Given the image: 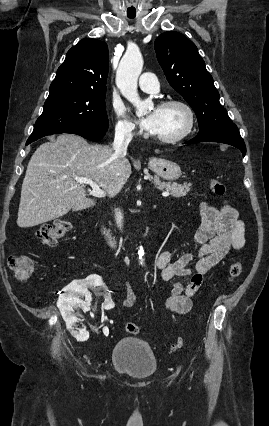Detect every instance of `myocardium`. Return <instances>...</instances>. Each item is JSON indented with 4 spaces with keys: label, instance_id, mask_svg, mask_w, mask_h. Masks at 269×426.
<instances>
[{
    "label": "myocardium",
    "instance_id": "f54148a6",
    "mask_svg": "<svg viewBox=\"0 0 269 426\" xmlns=\"http://www.w3.org/2000/svg\"><path fill=\"white\" fill-rule=\"evenodd\" d=\"M170 106H178L182 108L187 115V124L185 128L179 134L172 137H159L153 134H150V137L162 144H176L182 140H184L194 129L195 126V114L193 109L186 102L179 99H168L163 101L159 107H170Z\"/></svg>",
    "mask_w": 269,
    "mask_h": 426
}]
</instances>
